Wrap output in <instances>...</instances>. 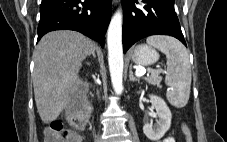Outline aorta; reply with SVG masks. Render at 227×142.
Here are the masks:
<instances>
[{
	"instance_id": "1",
	"label": "aorta",
	"mask_w": 227,
	"mask_h": 142,
	"mask_svg": "<svg viewBox=\"0 0 227 142\" xmlns=\"http://www.w3.org/2000/svg\"><path fill=\"white\" fill-rule=\"evenodd\" d=\"M108 63L113 88L117 94L123 91V48H122V11L112 17L108 32Z\"/></svg>"
}]
</instances>
